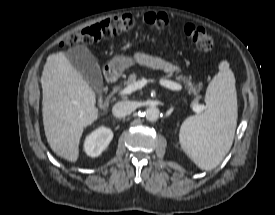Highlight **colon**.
<instances>
[{
	"label": "colon",
	"mask_w": 275,
	"mask_h": 215,
	"mask_svg": "<svg viewBox=\"0 0 275 215\" xmlns=\"http://www.w3.org/2000/svg\"><path fill=\"white\" fill-rule=\"evenodd\" d=\"M170 19L163 13H145L134 16L122 14L113 16L98 24L84 28L79 32L67 36L61 46H73L79 43L90 44L101 41L121 33H125L137 26H148L157 30H164L170 25ZM185 36L193 42L196 47L204 52L214 50L215 43L213 38L202 27L194 24H186L183 27Z\"/></svg>",
	"instance_id": "1"
}]
</instances>
